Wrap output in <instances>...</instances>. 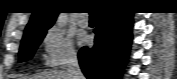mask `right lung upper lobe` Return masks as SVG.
Instances as JSON below:
<instances>
[{
  "mask_svg": "<svg viewBox=\"0 0 177 79\" xmlns=\"http://www.w3.org/2000/svg\"><path fill=\"white\" fill-rule=\"evenodd\" d=\"M58 14L56 11H48V7L45 5L40 6L33 12L24 31L23 39L30 37L40 30L49 29L55 22Z\"/></svg>",
  "mask_w": 177,
  "mask_h": 79,
  "instance_id": "right-lung-upper-lobe-1",
  "label": "right lung upper lobe"
}]
</instances>
